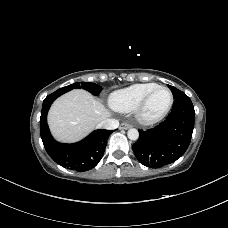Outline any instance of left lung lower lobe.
Returning a JSON list of instances; mask_svg holds the SVG:
<instances>
[{
    "label": "left lung lower lobe",
    "mask_w": 228,
    "mask_h": 228,
    "mask_svg": "<svg viewBox=\"0 0 228 228\" xmlns=\"http://www.w3.org/2000/svg\"><path fill=\"white\" fill-rule=\"evenodd\" d=\"M195 111L190 98H176L166 120L153 129L139 130L133 151L141 164L160 168L180 158L187 150L194 128Z\"/></svg>",
    "instance_id": "left-lung-lower-lobe-1"
}]
</instances>
